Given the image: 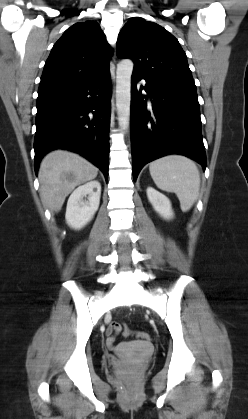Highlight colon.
Wrapping results in <instances>:
<instances>
[{
	"mask_svg": "<svg viewBox=\"0 0 248 419\" xmlns=\"http://www.w3.org/2000/svg\"><path fill=\"white\" fill-rule=\"evenodd\" d=\"M122 331V334L126 337L131 336V335H135L138 339L142 340V341H150L151 337L148 333L146 332H136L133 333L131 330H129L125 325L120 324V323H113L111 325V332L112 333H116V332H120ZM114 337V335H111Z\"/></svg>",
	"mask_w": 248,
	"mask_h": 419,
	"instance_id": "colon-1",
	"label": "colon"
}]
</instances>
